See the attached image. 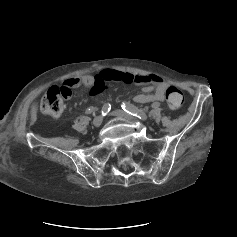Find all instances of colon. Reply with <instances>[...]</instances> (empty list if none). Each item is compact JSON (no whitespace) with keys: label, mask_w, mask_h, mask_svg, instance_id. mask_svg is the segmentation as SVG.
<instances>
[{"label":"colon","mask_w":237,"mask_h":237,"mask_svg":"<svg viewBox=\"0 0 237 237\" xmlns=\"http://www.w3.org/2000/svg\"><path fill=\"white\" fill-rule=\"evenodd\" d=\"M70 95V84H64L62 87H51L41 99L38 109L45 115L56 116L63 110L64 99L69 98ZM165 98L168 106L173 110L179 109L184 100L182 92L174 86L167 88Z\"/></svg>","instance_id":"5ec220e1"}]
</instances>
